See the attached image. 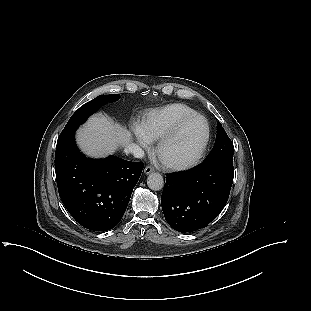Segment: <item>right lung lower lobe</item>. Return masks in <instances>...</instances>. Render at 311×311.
<instances>
[{"mask_svg":"<svg viewBox=\"0 0 311 311\" xmlns=\"http://www.w3.org/2000/svg\"><path fill=\"white\" fill-rule=\"evenodd\" d=\"M142 170V162L114 156L86 158L76 147L74 135L57 143L55 172L60 198L72 217L90 230L106 231L119 223Z\"/></svg>","mask_w":311,"mask_h":311,"instance_id":"1","label":"right lung lower lobe"}]
</instances>
